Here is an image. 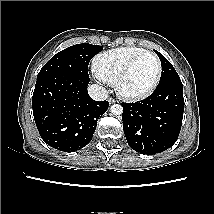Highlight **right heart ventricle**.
<instances>
[{"label": "right heart ventricle", "mask_w": 214, "mask_h": 214, "mask_svg": "<svg viewBox=\"0 0 214 214\" xmlns=\"http://www.w3.org/2000/svg\"><path fill=\"white\" fill-rule=\"evenodd\" d=\"M143 51L142 47L127 46L103 52L93 61L95 73L106 83L115 84L125 65Z\"/></svg>", "instance_id": "e07e8e85"}]
</instances>
